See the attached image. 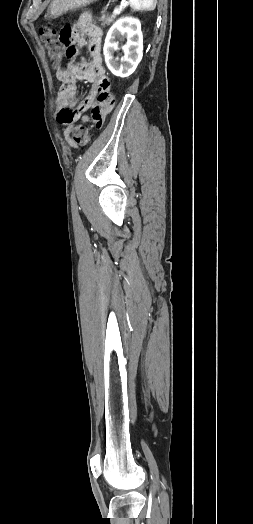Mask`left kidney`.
<instances>
[{
  "mask_svg": "<svg viewBox=\"0 0 253 524\" xmlns=\"http://www.w3.org/2000/svg\"><path fill=\"white\" fill-rule=\"evenodd\" d=\"M118 39H126L127 42L122 46L124 56L119 62L114 57L118 48ZM143 35L141 23L132 17L121 18L116 21L107 33L103 54L108 69L115 75L122 78L130 76L137 68L143 56Z\"/></svg>",
  "mask_w": 253,
  "mask_h": 524,
  "instance_id": "obj_1",
  "label": "left kidney"
}]
</instances>
